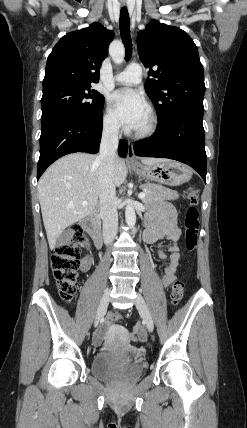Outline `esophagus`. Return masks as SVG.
Segmentation results:
<instances>
[{"label":"esophagus","instance_id":"esophagus-1","mask_svg":"<svg viewBox=\"0 0 247 428\" xmlns=\"http://www.w3.org/2000/svg\"><path fill=\"white\" fill-rule=\"evenodd\" d=\"M127 161L130 164H136L137 160L135 158L134 148L131 143L128 145V152H127Z\"/></svg>","mask_w":247,"mask_h":428}]
</instances>
